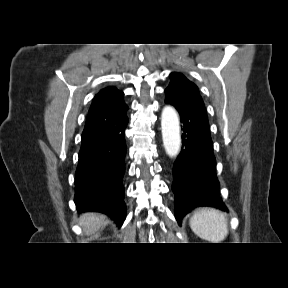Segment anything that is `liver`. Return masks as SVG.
<instances>
[{
    "instance_id": "1",
    "label": "liver",
    "mask_w": 288,
    "mask_h": 288,
    "mask_svg": "<svg viewBox=\"0 0 288 288\" xmlns=\"http://www.w3.org/2000/svg\"><path fill=\"white\" fill-rule=\"evenodd\" d=\"M106 217L98 213H85L79 219V224L83 227L86 235L96 233L105 223Z\"/></svg>"
}]
</instances>
